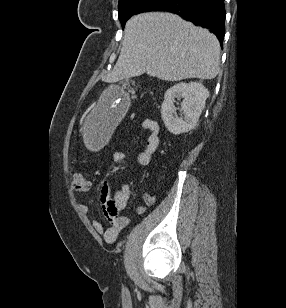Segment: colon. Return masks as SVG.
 I'll return each mask as SVG.
<instances>
[{"label": "colon", "instance_id": "colon-1", "mask_svg": "<svg viewBox=\"0 0 286 308\" xmlns=\"http://www.w3.org/2000/svg\"><path fill=\"white\" fill-rule=\"evenodd\" d=\"M89 188L88 179L81 173L74 172L71 175V189L74 192H84Z\"/></svg>", "mask_w": 286, "mask_h": 308}]
</instances>
